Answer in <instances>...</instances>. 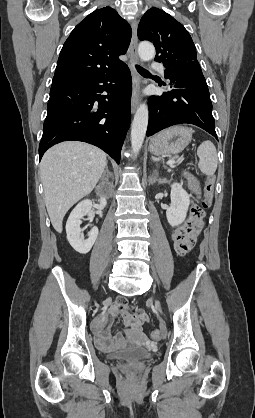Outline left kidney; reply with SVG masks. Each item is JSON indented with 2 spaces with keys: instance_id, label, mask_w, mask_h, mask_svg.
I'll list each match as a JSON object with an SVG mask.
<instances>
[{
  "instance_id": "obj_1",
  "label": "left kidney",
  "mask_w": 255,
  "mask_h": 418,
  "mask_svg": "<svg viewBox=\"0 0 255 418\" xmlns=\"http://www.w3.org/2000/svg\"><path fill=\"white\" fill-rule=\"evenodd\" d=\"M164 180L159 179V183H163ZM171 204L166 211L167 221L171 226H177L181 224L187 215L188 207L190 204V196L183 189L182 183H173L171 185Z\"/></svg>"
}]
</instances>
